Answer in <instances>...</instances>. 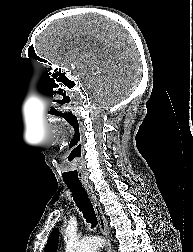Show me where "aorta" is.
Listing matches in <instances>:
<instances>
[{"label":"aorta","mask_w":193,"mask_h":252,"mask_svg":"<svg viewBox=\"0 0 193 252\" xmlns=\"http://www.w3.org/2000/svg\"><path fill=\"white\" fill-rule=\"evenodd\" d=\"M104 240L99 237H89L81 241L68 240L65 252H97Z\"/></svg>","instance_id":"762f6f07"}]
</instances>
